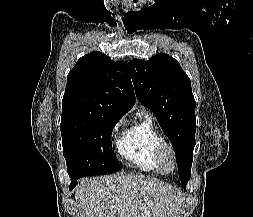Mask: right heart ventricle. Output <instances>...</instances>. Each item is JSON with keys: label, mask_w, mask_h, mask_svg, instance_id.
I'll return each instance as SVG.
<instances>
[{"label": "right heart ventricle", "mask_w": 253, "mask_h": 217, "mask_svg": "<svg viewBox=\"0 0 253 217\" xmlns=\"http://www.w3.org/2000/svg\"><path fill=\"white\" fill-rule=\"evenodd\" d=\"M162 140L152 118L145 115L125 129L117 141V150L123 158L138 168L146 172L160 173L155 151Z\"/></svg>", "instance_id": "obj_1"}]
</instances>
